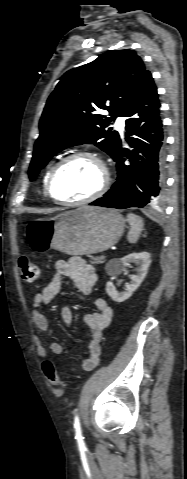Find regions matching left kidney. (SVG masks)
<instances>
[{
	"instance_id": "left-kidney-1",
	"label": "left kidney",
	"mask_w": 187,
	"mask_h": 479,
	"mask_svg": "<svg viewBox=\"0 0 187 479\" xmlns=\"http://www.w3.org/2000/svg\"><path fill=\"white\" fill-rule=\"evenodd\" d=\"M132 262L136 263L139 268L137 274L131 276V282L126 285L123 292L116 291L111 281L106 283V293L115 302L120 303L127 300L140 286L151 263L150 254L148 252L131 253L122 258L111 259L106 264L105 270L107 274L114 277L121 274V272L125 270V267Z\"/></svg>"
}]
</instances>
